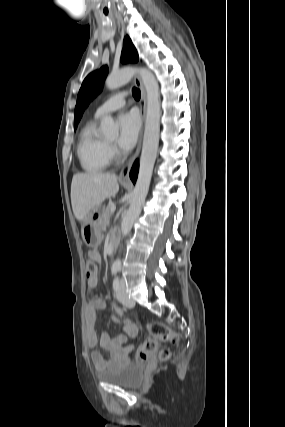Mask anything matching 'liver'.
Listing matches in <instances>:
<instances>
[{"label":"liver","instance_id":"1","mask_svg":"<svg viewBox=\"0 0 285 427\" xmlns=\"http://www.w3.org/2000/svg\"><path fill=\"white\" fill-rule=\"evenodd\" d=\"M119 184L115 174L77 173L71 183V204L77 220L82 221L104 200L116 195Z\"/></svg>","mask_w":285,"mask_h":427}]
</instances>
